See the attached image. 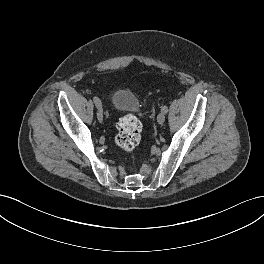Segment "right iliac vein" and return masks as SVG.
Instances as JSON below:
<instances>
[{
	"label": "right iliac vein",
	"instance_id": "right-iliac-vein-1",
	"mask_svg": "<svg viewBox=\"0 0 264 264\" xmlns=\"http://www.w3.org/2000/svg\"><path fill=\"white\" fill-rule=\"evenodd\" d=\"M97 118L99 120V122L103 121V111H102V107H97Z\"/></svg>",
	"mask_w": 264,
	"mask_h": 264
}]
</instances>
